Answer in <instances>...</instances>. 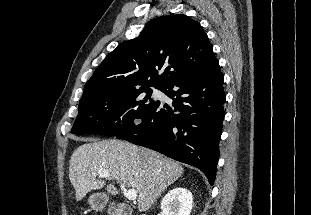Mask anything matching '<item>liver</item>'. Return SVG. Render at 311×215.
I'll use <instances>...</instances> for the list:
<instances>
[{"label": "liver", "instance_id": "1", "mask_svg": "<svg viewBox=\"0 0 311 215\" xmlns=\"http://www.w3.org/2000/svg\"><path fill=\"white\" fill-rule=\"evenodd\" d=\"M85 141L89 143L79 146L69 163V179L77 201L91 190L106 186V181L96 176L99 170H107L109 180L137 191L138 209L145 212L184 172L177 162L129 142L118 139ZM105 190L112 195L118 194L114 184L107 185Z\"/></svg>", "mask_w": 311, "mask_h": 215}]
</instances>
